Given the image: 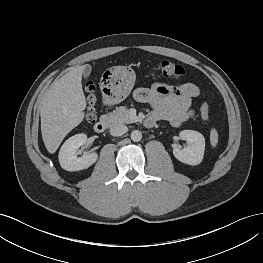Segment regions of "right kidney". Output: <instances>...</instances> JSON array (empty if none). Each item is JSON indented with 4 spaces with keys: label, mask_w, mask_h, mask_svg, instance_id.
<instances>
[{
    "label": "right kidney",
    "mask_w": 263,
    "mask_h": 263,
    "mask_svg": "<svg viewBox=\"0 0 263 263\" xmlns=\"http://www.w3.org/2000/svg\"><path fill=\"white\" fill-rule=\"evenodd\" d=\"M87 135L76 134L64 142L59 151L61 167L67 171H79L90 167L97 161V153H85L78 157L80 146L86 144Z\"/></svg>",
    "instance_id": "obj_1"
}]
</instances>
